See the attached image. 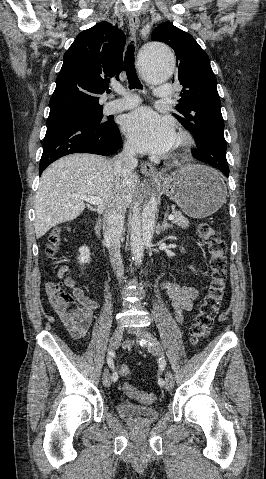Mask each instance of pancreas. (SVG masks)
I'll return each mask as SVG.
<instances>
[{
    "instance_id": "obj_1",
    "label": "pancreas",
    "mask_w": 266,
    "mask_h": 479,
    "mask_svg": "<svg viewBox=\"0 0 266 479\" xmlns=\"http://www.w3.org/2000/svg\"><path fill=\"white\" fill-rule=\"evenodd\" d=\"M172 214L175 216L172 223L178 225L181 228H187L189 226V220L183 216V214L178 210H172Z\"/></svg>"
}]
</instances>
